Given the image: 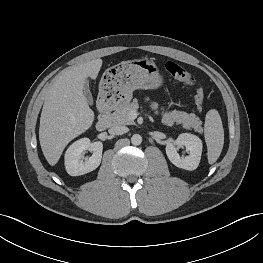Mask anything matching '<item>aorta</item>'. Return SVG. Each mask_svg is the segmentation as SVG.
I'll use <instances>...</instances> for the list:
<instances>
[{
    "label": "aorta",
    "mask_w": 263,
    "mask_h": 263,
    "mask_svg": "<svg viewBox=\"0 0 263 263\" xmlns=\"http://www.w3.org/2000/svg\"><path fill=\"white\" fill-rule=\"evenodd\" d=\"M131 142L133 145L135 146H138L142 143V137L141 135L139 134H134L132 137H131Z\"/></svg>",
    "instance_id": "aorta-1"
}]
</instances>
